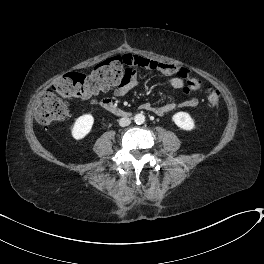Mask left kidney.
Segmentation results:
<instances>
[{"label":"left kidney","mask_w":264,"mask_h":264,"mask_svg":"<svg viewBox=\"0 0 264 264\" xmlns=\"http://www.w3.org/2000/svg\"><path fill=\"white\" fill-rule=\"evenodd\" d=\"M173 122L180 128L186 131H191L195 127L193 118L187 112H177L172 117Z\"/></svg>","instance_id":"5707ae66"}]
</instances>
